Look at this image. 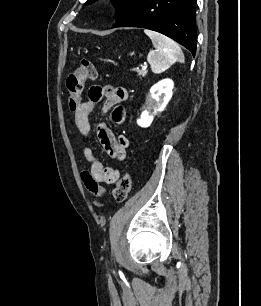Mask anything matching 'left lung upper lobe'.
I'll return each instance as SVG.
<instances>
[{"instance_id": "1", "label": "left lung upper lobe", "mask_w": 261, "mask_h": 306, "mask_svg": "<svg viewBox=\"0 0 261 306\" xmlns=\"http://www.w3.org/2000/svg\"><path fill=\"white\" fill-rule=\"evenodd\" d=\"M95 1L96 0H87L85 4L88 5ZM111 1L114 3V5L117 8L115 18L116 20H118L129 11L135 0H111Z\"/></svg>"}]
</instances>
